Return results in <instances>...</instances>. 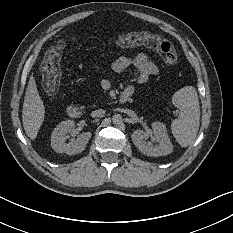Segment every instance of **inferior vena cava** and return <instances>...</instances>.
Listing matches in <instances>:
<instances>
[{"label": "inferior vena cava", "mask_w": 233, "mask_h": 233, "mask_svg": "<svg viewBox=\"0 0 233 233\" xmlns=\"http://www.w3.org/2000/svg\"><path fill=\"white\" fill-rule=\"evenodd\" d=\"M106 111L104 109H97L91 112L92 117H102L105 115Z\"/></svg>", "instance_id": "1"}]
</instances>
